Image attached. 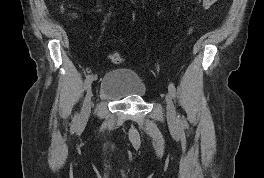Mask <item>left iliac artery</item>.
Instances as JSON below:
<instances>
[{
  "label": "left iliac artery",
  "instance_id": "left-iliac-artery-1",
  "mask_svg": "<svg viewBox=\"0 0 264 178\" xmlns=\"http://www.w3.org/2000/svg\"><path fill=\"white\" fill-rule=\"evenodd\" d=\"M168 90H169L170 95L175 99L176 98V88H175L173 83L169 84ZM178 117H180V116H178ZM180 119H181V117H180Z\"/></svg>",
  "mask_w": 264,
  "mask_h": 178
}]
</instances>
